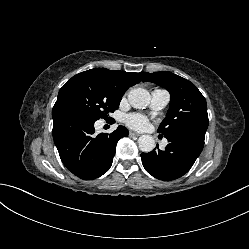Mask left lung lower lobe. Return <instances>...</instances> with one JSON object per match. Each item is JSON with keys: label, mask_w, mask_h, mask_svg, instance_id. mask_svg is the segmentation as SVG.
Returning <instances> with one entry per match:
<instances>
[{"label": "left lung lower lobe", "mask_w": 249, "mask_h": 249, "mask_svg": "<svg viewBox=\"0 0 249 249\" xmlns=\"http://www.w3.org/2000/svg\"><path fill=\"white\" fill-rule=\"evenodd\" d=\"M165 137L168 144L164 150L155 148L149 153H142L141 159L149 174L157 179L170 181L190 170L203 149L205 133L190 130Z\"/></svg>", "instance_id": "1"}]
</instances>
